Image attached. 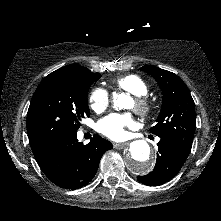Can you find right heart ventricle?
<instances>
[{
	"mask_svg": "<svg viewBox=\"0 0 221 221\" xmlns=\"http://www.w3.org/2000/svg\"><path fill=\"white\" fill-rule=\"evenodd\" d=\"M115 85L135 96H145L148 87L144 80L137 75L129 74L115 80Z\"/></svg>",
	"mask_w": 221,
	"mask_h": 221,
	"instance_id": "e07e8e85",
	"label": "right heart ventricle"
}]
</instances>
